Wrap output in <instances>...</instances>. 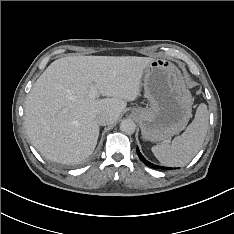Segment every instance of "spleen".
<instances>
[{
	"mask_svg": "<svg viewBox=\"0 0 234 234\" xmlns=\"http://www.w3.org/2000/svg\"><path fill=\"white\" fill-rule=\"evenodd\" d=\"M208 120L207 106L202 103L198 106L192 123L180 136L175 137L171 144L152 147L154 156L165 166L187 165L202 147L208 130Z\"/></svg>",
	"mask_w": 234,
	"mask_h": 234,
	"instance_id": "3e777b00",
	"label": "spleen"
}]
</instances>
